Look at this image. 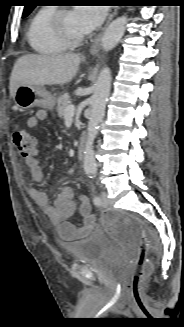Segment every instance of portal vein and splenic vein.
<instances>
[{
  "label": "portal vein and splenic vein",
  "mask_w": 184,
  "mask_h": 327,
  "mask_svg": "<svg viewBox=\"0 0 184 327\" xmlns=\"http://www.w3.org/2000/svg\"><path fill=\"white\" fill-rule=\"evenodd\" d=\"M75 113V106L74 105H68L65 109V117H72Z\"/></svg>",
  "instance_id": "obj_1"
}]
</instances>
